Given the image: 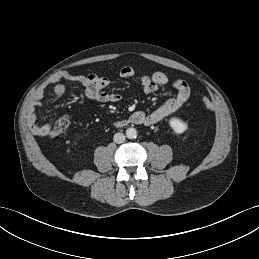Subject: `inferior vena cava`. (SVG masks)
Here are the masks:
<instances>
[{"label": "inferior vena cava", "mask_w": 259, "mask_h": 259, "mask_svg": "<svg viewBox=\"0 0 259 259\" xmlns=\"http://www.w3.org/2000/svg\"><path fill=\"white\" fill-rule=\"evenodd\" d=\"M113 140L117 144L123 143L125 141V135L123 133L118 132L114 135Z\"/></svg>", "instance_id": "602c4592"}]
</instances>
